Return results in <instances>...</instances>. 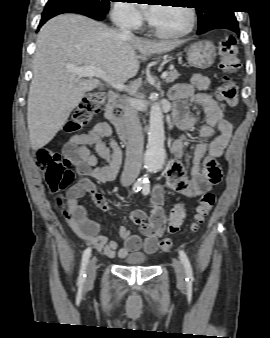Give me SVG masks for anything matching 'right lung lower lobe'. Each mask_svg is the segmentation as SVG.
Masks as SVG:
<instances>
[{"label": "right lung lower lobe", "instance_id": "right-lung-lower-lobe-1", "mask_svg": "<svg viewBox=\"0 0 270 338\" xmlns=\"http://www.w3.org/2000/svg\"><path fill=\"white\" fill-rule=\"evenodd\" d=\"M78 13V14H83L86 15L90 18L96 19V20H103L106 14L101 13V12H96L92 11L89 9H84V8H48L44 9L43 14H42V19L40 21V24L38 26V29L50 18L62 14V13Z\"/></svg>", "mask_w": 270, "mask_h": 338}]
</instances>
